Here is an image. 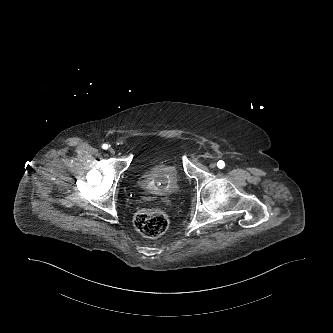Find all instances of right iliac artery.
I'll use <instances>...</instances> for the list:
<instances>
[{"label": "right iliac artery", "mask_w": 333, "mask_h": 333, "mask_svg": "<svg viewBox=\"0 0 333 333\" xmlns=\"http://www.w3.org/2000/svg\"><path fill=\"white\" fill-rule=\"evenodd\" d=\"M102 148H103L104 150H106V149H108V145H107V144H103V145H102Z\"/></svg>", "instance_id": "obj_1"}]
</instances>
